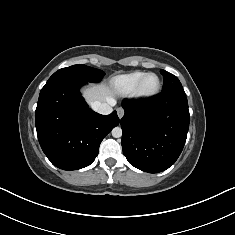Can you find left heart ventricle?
Instances as JSON below:
<instances>
[{
	"label": "left heart ventricle",
	"mask_w": 235,
	"mask_h": 235,
	"mask_svg": "<svg viewBox=\"0 0 235 235\" xmlns=\"http://www.w3.org/2000/svg\"><path fill=\"white\" fill-rule=\"evenodd\" d=\"M157 85V79L155 76H149L146 78V80L143 83V90L146 92H150L156 88Z\"/></svg>",
	"instance_id": "left-heart-ventricle-1"
}]
</instances>
